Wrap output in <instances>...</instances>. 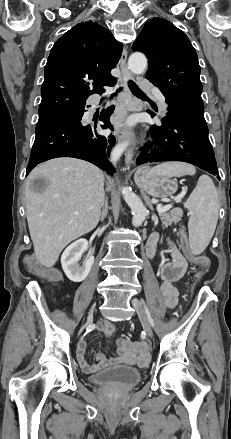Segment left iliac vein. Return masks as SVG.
Segmentation results:
<instances>
[{
  "instance_id": "4c4485c4",
  "label": "left iliac vein",
  "mask_w": 231,
  "mask_h": 439,
  "mask_svg": "<svg viewBox=\"0 0 231 439\" xmlns=\"http://www.w3.org/2000/svg\"><path fill=\"white\" fill-rule=\"evenodd\" d=\"M131 303H132L133 307L136 309V312L141 320L142 326H143L146 334L148 335L149 338H152L153 331H152L150 322L146 316V313L144 311V308H143L141 302L137 298H133L131 300Z\"/></svg>"
}]
</instances>
